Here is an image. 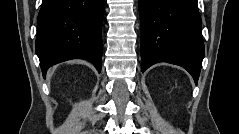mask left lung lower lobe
I'll use <instances>...</instances> for the list:
<instances>
[{
    "mask_svg": "<svg viewBox=\"0 0 239 134\" xmlns=\"http://www.w3.org/2000/svg\"><path fill=\"white\" fill-rule=\"evenodd\" d=\"M141 71L167 62L184 67L197 84L204 43L197 0H139Z\"/></svg>",
    "mask_w": 239,
    "mask_h": 134,
    "instance_id": "0a47b994",
    "label": "left lung lower lobe"
}]
</instances>
